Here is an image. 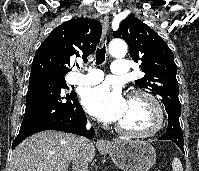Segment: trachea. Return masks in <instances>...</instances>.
Here are the masks:
<instances>
[{
  "instance_id": "obj_1",
  "label": "trachea",
  "mask_w": 199,
  "mask_h": 171,
  "mask_svg": "<svg viewBox=\"0 0 199 171\" xmlns=\"http://www.w3.org/2000/svg\"><path fill=\"white\" fill-rule=\"evenodd\" d=\"M105 53H106L105 45L97 49L96 51V64L97 65H100L105 61Z\"/></svg>"
}]
</instances>
